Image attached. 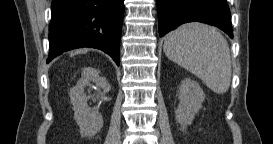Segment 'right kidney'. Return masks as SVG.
<instances>
[{
    "label": "right kidney",
    "instance_id": "obj_1",
    "mask_svg": "<svg viewBox=\"0 0 273 144\" xmlns=\"http://www.w3.org/2000/svg\"><path fill=\"white\" fill-rule=\"evenodd\" d=\"M91 82L96 83L97 92L104 95L110 89V85L106 79L99 77V72L93 68H86L82 72L81 79L76 86L70 90V100L73 106L74 119L80 127L81 133L87 137H93L103 127V119L101 114L90 112L87 105V98L84 94L85 88L90 86ZM103 89V93L100 91Z\"/></svg>",
    "mask_w": 273,
    "mask_h": 144
}]
</instances>
